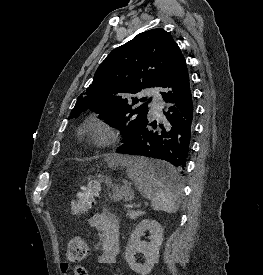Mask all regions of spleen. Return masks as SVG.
<instances>
[{"mask_svg": "<svg viewBox=\"0 0 263 275\" xmlns=\"http://www.w3.org/2000/svg\"><path fill=\"white\" fill-rule=\"evenodd\" d=\"M127 168V176L134 182L138 191L151 200L154 210L174 213L179 208V195L182 184L169 186L156 179L152 174L154 163L143 157H129L121 161Z\"/></svg>", "mask_w": 263, "mask_h": 275, "instance_id": "obj_1", "label": "spleen"}]
</instances>
